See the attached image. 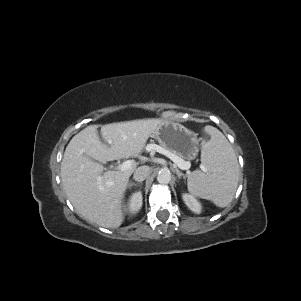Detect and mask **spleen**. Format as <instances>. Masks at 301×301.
Masks as SVG:
<instances>
[{
    "instance_id": "spleen-1",
    "label": "spleen",
    "mask_w": 301,
    "mask_h": 301,
    "mask_svg": "<svg viewBox=\"0 0 301 301\" xmlns=\"http://www.w3.org/2000/svg\"><path fill=\"white\" fill-rule=\"evenodd\" d=\"M205 131L211 138L202 143L201 164L204 172L191 173L188 191L224 208L234 198L239 181V165L226 137L212 126H206Z\"/></svg>"
}]
</instances>
